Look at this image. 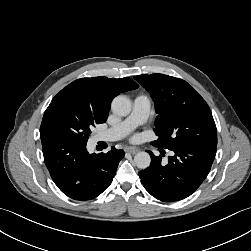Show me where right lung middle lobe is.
<instances>
[{
  "mask_svg": "<svg viewBox=\"0 0 251 251\" xmlns=\"http://www.w3.org/2000/svg\"><path fill=\"white\" fill-rule=\"evenodd\" d=\"M103 123L93 112L68 96L54 98L46 109L40 127V138L67 139L86 145L91 128Z\"/></svg>",
  "mask_w": 251,
  "mask_h": 251,
  "instance_id": "obj_1",
  "label": "right lung middle lobe"
}]
</instances>
